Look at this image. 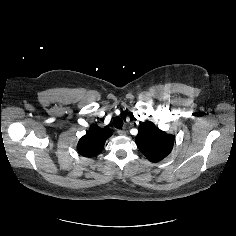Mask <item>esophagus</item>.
I'll return each instance as SVG.
<instances>
[{"label":"esophagus","instance_id":"1","mask_svg":"<svg viewBox=\"0 0 236 236\" xmlns=\"http://www.w3.org/2000/svg\"><path fill=\"white\" fill-rule=\"evenodd\" d=\"M117 133L120 136H125L126 135V131L125 130H118Z\"/></svg>","mask_w":236,"mask_h":236}]
</instances>
